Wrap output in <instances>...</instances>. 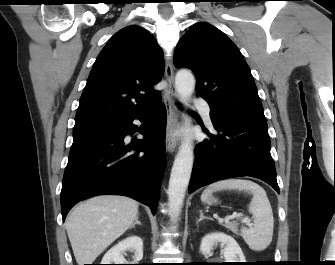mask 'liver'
<instances>
[{"instance_id": "1", "label": "liver", "mask_w": 335, "mask_h": 265, "mask_svg": "<svg viewBox=\"0 0 335 265\" xmlns=\"http://www.w3.org/2000/svg\"><path fill=\"white\" fill-rule=\"evenodd\" d=\"M138 203L128 197L102 195L73 209L65 228L78 265L92 264L117 238L131 227Z\"/></svg>"}]
</instances>
